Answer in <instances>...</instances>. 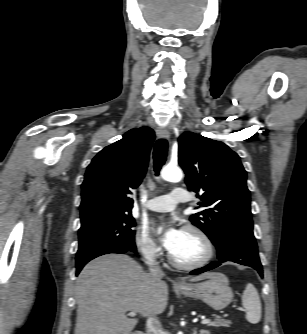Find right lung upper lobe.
Instances as JSON below:
<instances>
[{
  "label": "right lung upper lobe",
  "mask_w": 307,
  "mask_h": 334,
  "mask_svg": "<svg viewBox=\"0 0 307 334\" xmlns=\"http://www.w3.org/2000/svg\"><path fill=\"white\" fill-rule=\"evenodd\" d=\"M154 139L149 127L131 129L93 158L82 183L81 217L131 214L133 200L129 195L145 176Z\"/></svg>",
  "instance_id": "obj_1"
}]
</instances>
